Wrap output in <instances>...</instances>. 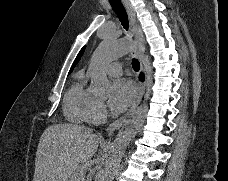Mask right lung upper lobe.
Here are the masks:
<instances>
[{
	"label": "right lung upper lobe",
	"instance_id": "right-lung-upper-lobe-1",
	"mask_svg": "<svg viewBox=\"0 0 228 181\" xmlns=\"http://www.w3.org/2000/svg\"><path fill=\"white\" fill-rule=\"evenodd\" d=\"M84 49H85V47H83V48L81 49V51L78 53V55H77L75 61H74L73 64H72V67H71V69H70V71H69V74L72 72L73 68L75 67V65H76V64L78 63V61L80 60V58H81V56H82V54H83V52H84Z\"/></svg>",
	"mask_w": 228,
	"mask_h": 181
}]
</instances>
